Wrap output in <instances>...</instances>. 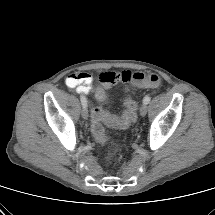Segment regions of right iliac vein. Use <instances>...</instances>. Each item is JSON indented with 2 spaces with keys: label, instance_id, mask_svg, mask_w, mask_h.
<instances>
[{
  "label": "right iliac vein",
  "instance_id": "right-iliac-vein-1",
  "mask_svg": "<svg viewBox=\"0 0 215 215\" xmlns=\"http://www.w3.org/2000/svg\"><path fill=\"white\" fill-rule=\"evenodd\" d=\"M82 117H83V119H87L88 118L87 105L83 106V108H82Z\"/></svg>",
  "mask_w": 215,
  "mask_h": 215
}]
</instances>
